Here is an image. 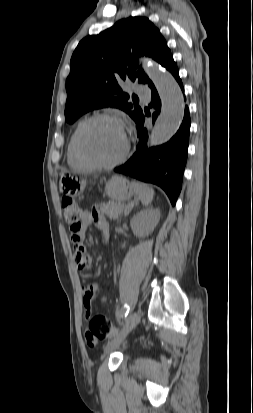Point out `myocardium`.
Returning <instances> with one entry per match:
<instances>
[{
    "instance_id": "myocardium-1",
    "label": "myocardium",
    "mask_w": 253,
    "mask_h": 413,
    "mask_svg": "<svg viewBox=\"0 0 253 413\" xmlns=\"http://www.w3.org/2000/svg\"><path fill=\"white\" fill-rule=\"evenodd\" d=\"M99 120H108V121L115 122L121 126L124 132V136H125L124 150L118 158L110 162H98V161L91 159L85 153L84 148H83L82 138H83V134L85 130L87 129L89 125ZM75 145H76L77 154L80 157V159L87 166L94 168V169H110V168L116 167L117 165L121 164L127 158L129 154V150H130V140H129L124 123L119 117L112 115V114H107V113H99V114L92 115L91 117L86 119L83 123H81L76 133Z\"/></svg>"
}]
</instances>
